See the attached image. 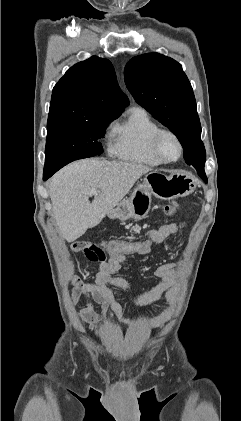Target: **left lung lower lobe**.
Returning <instances> with one entry per match:
<instances>
[{"label":"left lung lower lobe","mask_w":241,"mask_h":421,"mask_svg":"<svg viewBox=\"0 0 241 421\" xmlns=\"http://www.w3.org/2000/svg\"><path fill=\"white\" fill-rule=\"evenodd\" d=\"M188 165H192V166H194L195 168H196V170H197V172H198V175L205 181V182H207V177H206V175H205V172H204V169L203 168H201V167H198L197 165H193V163L192 162H189V163H187Z\"/></svg>","instance_id":"obj_1"}]
</instances>
